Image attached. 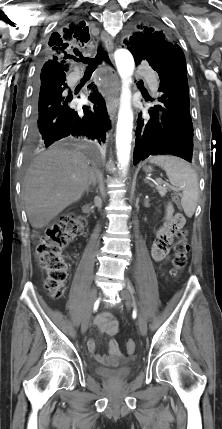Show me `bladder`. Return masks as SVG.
<instances>
[{
	"mask_svg": "<svg viewBox=\"0 0 222 429\" xmlns=\"http://www.w3.org/2000/svg\"><path fill=\"white\" fill-rule=\"evenodd\" d=\"M133 371V366H125V367H118V368H104V367H95L94 373L99 378L118 382L123 381L130 377Z\"/></svg>",
	"mask_w": 222,
	"mask_h": 429,
	"instance_id": "31cf9c89",
	"label": "bladder"
}]
</instances>
